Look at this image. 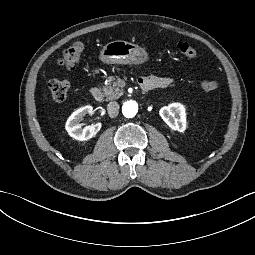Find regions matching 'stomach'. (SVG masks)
I'll list each match as a JSON object with an SVG mask.
<instances>
[{"mask_svg":"<svg viewBox=\"0 0 255 255\" xmlns=\"http://www.w3.org/2000/svg\"><path fill=\"white\" fill-rule=\"evenodd\" d=\"M99 59L106 64H142L148 60V54L136 44L116 40L102 48Z\"/></svg>","mask_w":255,"mask_h":255,"instance_id":"obj_1","label":"stomach"}]
</instances>
